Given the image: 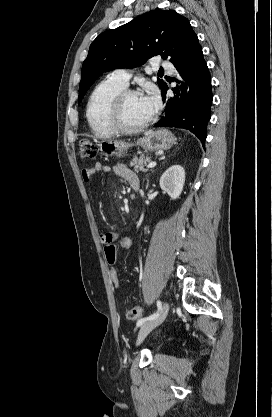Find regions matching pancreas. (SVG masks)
I'll list each match as a JSON object with an SVG mask.
<instances>
[{
  "label": "pancreas",
  "instance_id": "pancreas-1",
  "mask_svg": "<svg viewBox=\"0 0 272 417\" xmlns=\"http://www.w3.org/2000/svg\"><path fill=\"white\" fill-rule=\"evenodd\" d=\"M150 161L149 157L141 156V157H135L130 162V165L134 167V170L136 172L142 171L146 172L147 169H145L146 164Z\"/></svg>",
  "mask_w": 272,
  "mask_h": 417
}]
</instances>
